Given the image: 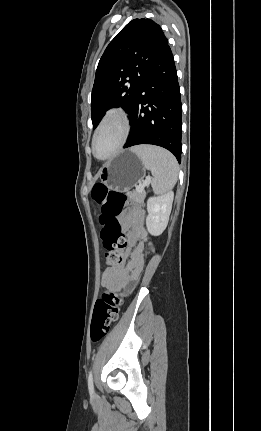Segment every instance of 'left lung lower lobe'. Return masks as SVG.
Wrapping results in <instances>:
<instances>
[{
	"mask_svg": "<svg viewBox=\"0 0 261 431\" xmlns=\"http://www.w3.org/2000/svg\"><path fill=\"white\" fill-rule=\"evenodd\" d=\"M181 99L169 46L148 70L130 113L131 131L124 148L153 144L166 148L181 162Z\"/></svg>",
	"mask_w": 261,
	"mask_h": 431,
	"instance_id": "left-lung-lower-lobe-1",
	"label": "left lung lower lobe"
}]
</instances>
